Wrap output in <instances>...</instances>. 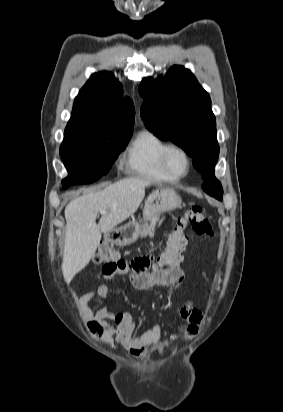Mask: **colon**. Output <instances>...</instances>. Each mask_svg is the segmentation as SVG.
<instances>
[{
	"label": "colon",
	"instance_id": "obj_1",
	"mask_svg": "<svg viewBox=\"0 0 283 412\" xmlns=\"http://www.w3.org/2000/svg\"><path fill=\"white\" fill-rule=\"evenodd\" d=\"M190 224L193 231L203 239L212 238L214 231L209 217L202 207L192 205L178 218L170 233L166 247L158 257L143 256L132 260L117 259L114 250L107 244H102L95 255V261L102 265L103 275H117L130 270L144 274H152L155 270L161 271L173 262L187 243L186 226ZM90 330L94 335L100 333V327L90 323Z\"/></svg>",
	"mask_w": 283,
	"mask_h": 412
}]
</instances>
